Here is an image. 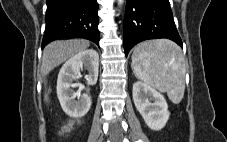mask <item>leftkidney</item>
<instances>
[{"instance_id":"left-kidney-1","label":"left kidney","mask_w":227,"mask_h":142,"mask_svg":"<svg viewBox=\"0 0 227 142\" xmlns=\"http://www.w3.org/2000/svg\"><path fill=\"white\" fill-rule=\"evenodd\" d=\"M133 101L145 123L152 130H161L170 113L165 98L157 90L137 81L133 84Z\"/></svg>"}]
</instances>
